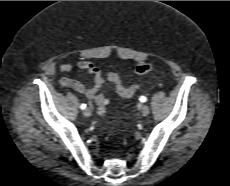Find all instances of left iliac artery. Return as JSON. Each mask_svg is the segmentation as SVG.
<instances>
[{"label": "left iliac artery", "mask_w": 230, "mask_h": 186, "mask_svg": "<svg viewBox=\"0 0 230 186\" xmlns=\"http://www.w3.org/2000/svg\"><path fill=\"white\" fill-rule=\"evenodd\" d=\"M139 100H140L141 102H146V101H147V98H146L145 96H141V97L139 98Z\"/></svg>", "instance_id": "left-iliac-artery-1"}]
</instances>
